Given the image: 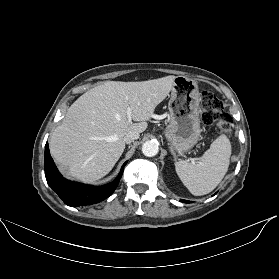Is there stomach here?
<instances>
[{
    "mask_svg": "<svg viewBox=\"0 0 279 279\" xmlns=\"http://www.w3.org/2000/svg\"><path fill=\"white\" fill-rule=\"evenodd\" d=\"M199 104L197 82L185 76H177L168 105L170 122L164 131L171 151L181 154L198 142L201 132Z\"/></svg>",
    "mask_w": 279,
    "mask_h": 279,
    "instance_id": "stomach-1",
    "label": "stomach"
}]
</instances>
